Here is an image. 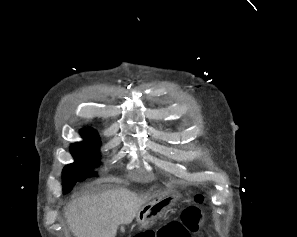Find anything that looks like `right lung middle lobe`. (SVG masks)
Masks as SVG:
<instances>
[{"label": "right lung middle lobe", "mask_w": 297, "mask_h": 237, "mask_svg": "<svg viewBox=\"0 0 297 237\" xmlns=\"http://www.w3.org/2000/svg\"><path fill=\"white\" fill-rule=\"evenodd\" d=\"M84 142H76L70 146V151L76 162L66 165L63 170V186L65 193L69 192L77 181L94 177L96 174L88 164L97 165V155L100 141L97 135L83 134Z\"/></svg>", "instance_id": "right-lung-middle-lobe-1"}]
</instances>
